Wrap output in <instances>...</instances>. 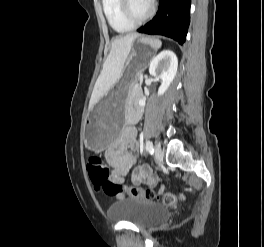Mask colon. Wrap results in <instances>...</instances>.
Masks as SVG:
<instances>
[{"label": "colon", "instance_id": "colon-1", "mask_svg": "<svg viewBox=\"0 0 264 247\" xmlns=\"http://www.w3.org/2000/svg\"><path fill=\"white\" fill-rule=\"evenodd\" d=\"M86 164L92 184L111 197L128 195L133 198L161 200L167 205H173L178 200V196L174 192H165L162 194H158L149 189H144L136 186H124L113 182L109 178V167L101 158L97 156L89 157Z\"/></svg>", "mask_w": 264, "mask_h": 247}]
</instances>
